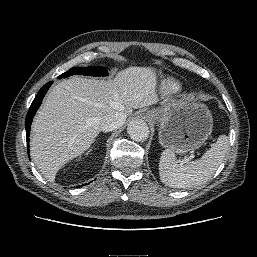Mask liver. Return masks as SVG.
Listing matches in <instances>:
<instances>
[{
	"instance_id": "1",
	"label": "liver",
	"mask_w": 257,
	"mask_h": 257,
	"mask_svg": "<svg viewBox=\"0 0 257 257\" xmlns=\"http://www.w3.org/2000/svg\"><path fill=\"white\" fill-rule=\"evenodd\" d=\"M157 76L150 67H128L114 80L73 76L55 85L39 109L30 140L32 159L50 181L69 160L90 148L102 117L157 103Z\"/></svg>"
}]
</instances>
